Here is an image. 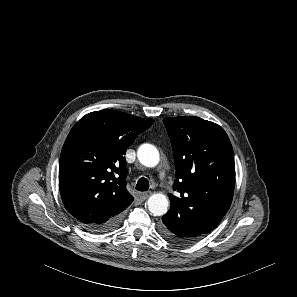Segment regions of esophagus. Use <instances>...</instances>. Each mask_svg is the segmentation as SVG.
Instances as JSON below:
<instances>
[{"instance_id":"obj_1","label":"esophagus","mask_w":297,"mask_h":297,"mask_svg":"<svg viewBox=\"0 0 297 297\" xmlns=\"http://www.w3.org/2000/svg\"><path fill=\"white\" fill-rule=\"evenodd\" d=\"M152 192L151 191H146V192H142L140 193V198L141 200H146L147 198H149L151 196Z\"/></svg>"}]
</instances>
